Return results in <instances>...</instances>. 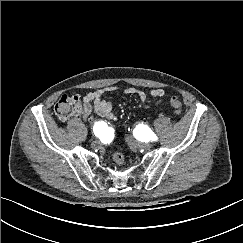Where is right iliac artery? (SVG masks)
Returning a JSON list of instances; mask_svg holds the SVG:
<instances>
[{"instance_id": "82829eb1", "label": "right iliac artery", "mask_w": 243, "mask_h": 243, "mask_svg": "<svg viewBox=\"0 0 243 243\" xmlns=\"http://www.w3.org/2000/svg\"><path fill=\"white\" fill-rule=\"evenodd\" d=\"M106 128V125H102V124H96L94 126V133L96 136H100L102 135V132L104 131V129Z\"/></svg>"}]
</instances>
